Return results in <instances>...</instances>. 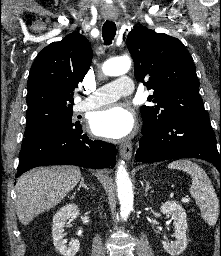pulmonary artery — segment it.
<instances>
[{
	"mask_svg": "<svg viewBox=\"0 0 221 256\" xmlns=\"http://www.w3.org/2000/svg\"><path fill=\"white\" fill-rule=\"evenodd\" d=\"M133 89V82L129 77H119L98 88L94 93L79 103L77 109L83 111L97 108L104 104L116 101L120 97L132 94Z\"/></svg>",
	"mask_w": 221,
	"mask_h": 256,
	"instance_id": "e3ab8cb5",
	"label": "pulmonary artery"
}]
</instances>
